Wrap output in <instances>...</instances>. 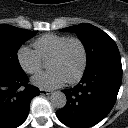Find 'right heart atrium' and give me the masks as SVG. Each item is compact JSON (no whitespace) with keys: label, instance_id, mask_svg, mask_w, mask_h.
Wrapping results in <instances>:
<instances>
[{"label":"right heart atrium","instance_id":"1","mask_svg":"<svg viewBox=\"0 0 128 128\" xmlns=\"http://www.w3.org/2000/svg\"><path fill=\"white\" fill-rule=\"evenodd\" d=\"M17 60L20 67L28 74H36L43 67V61L37 52L29 46H21L17 50Z\"/></svg>","mask_w":128,"mask_h":128}]
</instances>
